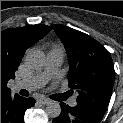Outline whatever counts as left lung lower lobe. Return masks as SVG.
<instances>
[{"instance_id":"left-lung-lower-lobe-1","label":"left lung lower lobe","mask_w":123,"mask_h":123,"mask_svg":"<svg viewBox=\"0 0 123 123\" xmlns=\"http://www.w3.org/2000/svg\"><path fill=\"white\" fill-rule=\"evenodd\" d=\"M61 114L52 123H99L103 115L93 113L82 107H70L60 103Z\"/></svg>"}]
</instances>
